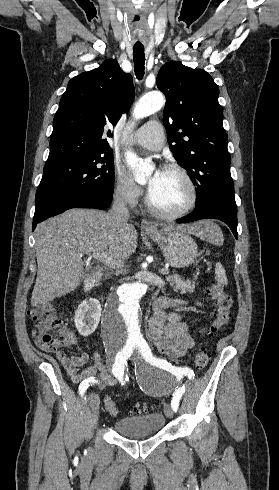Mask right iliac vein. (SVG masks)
Segmentation results:
<instances>
[{
    "mask_svg": "<svg viewBox=\"0 0 279 490\" xmlns=\"http://www.w3.org/2000/svg\"><path fill=\"white\" fill-rule=\"evenodd\" d=\"M89 405L92 410V421L94 424H98L99 422V397L97 394L92 393L89 396Z\"/></svg>",
    "mask_w": 279,
    "mask_h": 490,
    "instance_id": "63e3f726",
    "label": "right iliac vein"
}]
</instances>
